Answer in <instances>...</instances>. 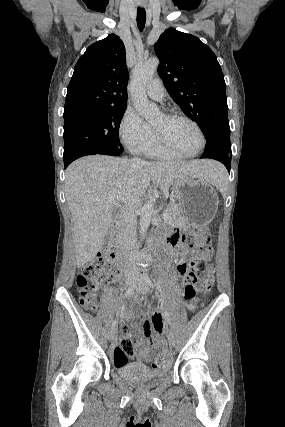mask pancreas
Wrapping results in <instances>:
<instances>
[{"label": "pancreas", "mask_w": 285, "mask_h": 427, "mask_svg": "<svg viewBox=\"0 0 285 427\" xmlns=\"http://www.w3.org/2000/svg\"><path fill=\"white\" fill-rule=\"evenodd\" d=\"M164 213H167L169 215V219L165 220V223L170 225H178L183 220L181 219L180 210L178 205H169L165 210Z\"/></svg>", "instance_id": "obj_1"}]
</instances>
